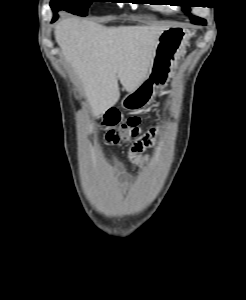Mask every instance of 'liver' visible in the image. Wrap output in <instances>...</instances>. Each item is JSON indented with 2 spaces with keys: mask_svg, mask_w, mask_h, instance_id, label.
<instances>
[{
  "mask_svg": "<svg viewBox=\"0 0 246 300\" xmlns=\"http://www.w3.org/2000/svg\"><path fill=\"white\" fill-rule=\"evenodd\" d=\"M164 26L105 27L66 18L55 27V39L65 60L81 81L93 115L120 98L118 80L127 92L137 89L152 67Z\"/></svg>",
  "mask_w": 246,
  "mask_h": 300,
  "instance_id": "liver-1",
  "label": "liver"
}]
</instances>
